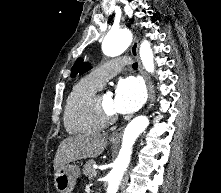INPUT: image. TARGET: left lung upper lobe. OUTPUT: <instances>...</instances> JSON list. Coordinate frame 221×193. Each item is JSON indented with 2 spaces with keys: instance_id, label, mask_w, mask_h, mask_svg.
Segmentation results:
<instances>
[{
  "instance_id": "obj_1",
  "label": "left lung upper lobe",
  "mask_w": 221,
  "mask_h": 193,
  "mask_svg": "<svg viewBox=\"0 0 221 193\" xmlns=\"http://www.w3.org/2000/svg\"><path fill=\"white\" fill-rule=\"evenodd\" d=\"M91 67L89 64L82 63L81 59L77 60L72 68V76H74L76 73L80 72V74L85 73L88 71Z\"/></svg>"
}]
</instances>
